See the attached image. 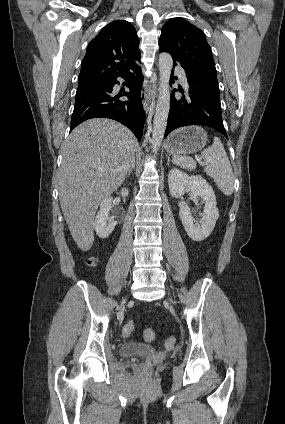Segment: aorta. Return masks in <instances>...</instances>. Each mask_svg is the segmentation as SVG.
<instances>
[{
  "instance_id": "aorta-1",
  "label": "aorta",
  "mask_w": 285,
  "mask_h": 424,
  "mask_svg": "<svg viewBox=\"0 0 285 424\" xmlns=\"http://www.w3.org/2000/svg\"><path fill=\"white\" fill-rule=\"evenodd\" d=\"M173 60L169 53L163 52L159 55L160 92L156 106L152 132V151L159 150L167 126L170 110L169 81Z\"/></svg>"
}]
</instances>
